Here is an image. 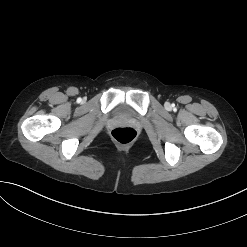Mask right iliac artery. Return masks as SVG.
I'll list each match as a JSON object with an SVG mask.
<instances>
[{"mask_svg":"<svg viewBox=\"0 0 247 247\" xmlns=\"http://www.w3.org/2000/svg\"><path fill=\"white\" fill-rule=\"evenodd\" d=\"M81 101V98H78V102H80Z\"/></svg>","mask_w":247,"mask_h":247,"instance_id":"82829eb1","label":"right iliac artery"}]
</instances>
